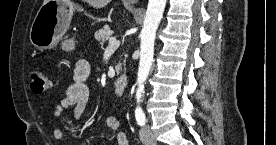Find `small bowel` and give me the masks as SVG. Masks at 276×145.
Here are the masks:
<instances>
[{"mask_svg": "<svg viewBox=\"0 0 276 145\" xmlns=\"http://www.w3.org/2000/svg\"><path fill=\"white\" fill-rule=\"evenodd\" d=\"M91 67L87 60L80 59L74 68V82L67 88L64 98L60 100L54 109V116L61 117L69 108L72 109L71 119L79 120L85 113L90 90L86 80L90 74ZM106 127L116 133L117 145H129L128 138L120 129L119 121L114 116L106 119ZM53 136L56 140H62L65 136L63 128H55Z\"/></svg>", "mask_w": 276, "mask_h": 145, "instance_id": "obj_1", "label": "small bowel"}]
</instances>
